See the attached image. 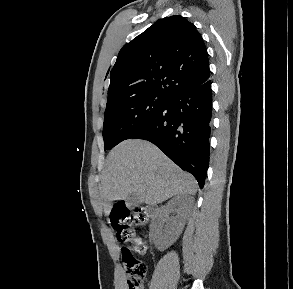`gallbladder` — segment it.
<instances>
[{"instance_id":"gallbladder-1","label":"gallbladder","mask_w":293,"mask_h":289,"mask_svg":"<svg viewBox=\"0 0 293 289\" xmlns=\"http://www.w3.org/2000/svg\"><path fill=\"white\" fill-rule=\"evenodd\" d=\"M125 201L128 207L138 206L142 203L139 197L134 193L130 194Z\"/></svg>"}]
</instances>
